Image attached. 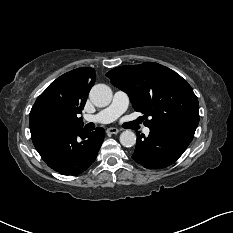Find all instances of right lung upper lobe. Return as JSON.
<instances>
[{"mask_svg": "<svg viewBox=\"0 0 233 233\" xmlns=\"http://www.w3.org/2000/svg\"><path fill=\"white\" fill-rule=\"evenodd\" d=\"M95 82V70L88 67L67 72L53 81L37 98L30 115V128L39 125L47 115L59 118L65 127L83 126L81 113L88 93Z\"/></svg>", "mask_w": 233, "mask_h": 233, "instance_id": "cb5924a9", "label": "right lung upper lobe"}]
</instances>
